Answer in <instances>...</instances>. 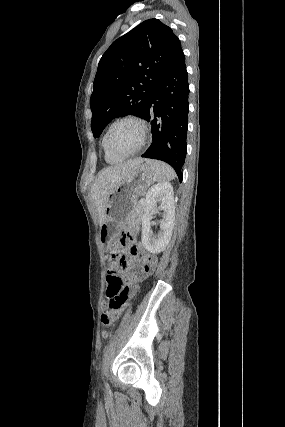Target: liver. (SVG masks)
<instances>
[{
    "label": "liver",
    "mask_w": 285,
    "mask_h": 427,
    "mask_svg": "<svg viewBox=\"0 0 285 427\" xmlns=\"http://www.w3.org/2000/svg\"><path fill=\"white\" fill-rule=\"evenodd\" d=\"M144 160L136 158L125 163L111 166L102 170L91 187V198L94 202L100 226L105 220L107 196L111 190L120 184L130 170Z\"/></svg>",
    "instance_id": "liver-1"
}]
</instances>
